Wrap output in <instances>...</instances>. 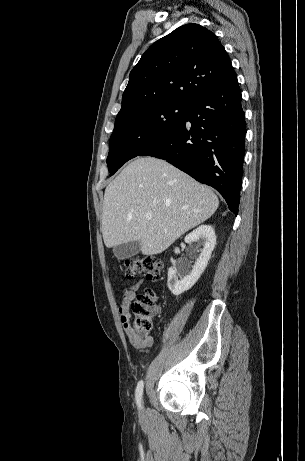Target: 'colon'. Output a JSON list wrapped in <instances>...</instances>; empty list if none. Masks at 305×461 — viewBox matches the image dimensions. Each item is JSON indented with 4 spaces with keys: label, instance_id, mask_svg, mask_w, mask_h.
<instances>
[{
    "label": "colon",
    "instance_id": "colon-1",
    "mask_svg": "<svg viewBox=\"0 0 305 461\" xmlns=\"http://www.w3.org/2000/svg\"><path fill=\"white\" fill-rule=\"evenodd\" d=\"M163 263L154 255L134 257L124 263L123 274L126 279L143 276L149 280H158L161 275ZM156 296L152 290H147L138 295L130 304L133 318L132 330L140 334H148L153 329V307Z\"/></svg>",
    "mask_w": 305,
    "mask_h": 461
}]
</instances>
